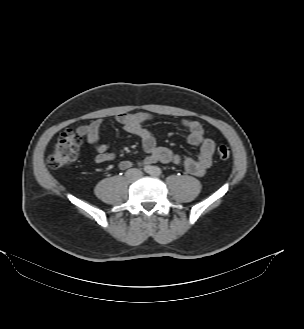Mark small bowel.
<instances>
[{"mask_svg": "<svg viewBox=\"0 0 304 329\" xmlns=\"http://www.w3.org/2000/svg\"><path fill=\"white\" fill-rule=\"evenodd\" d=\"M153 120V115L148 112L121 113L115 118V122L125 131L138 136L142 147L147 154L144 163H165L183 167L188 173L194 176H202L211 166L212 157L215 151L214 142L207 138L201 124L193 119H183L179 125L188 133V141L198 146L200 151L197 159L183 157L174 153L169 148L158 145L153 134L146 127L147 123ZM101 120H95L89 124L82 125L77 129L78 134L89 144L93 145L97 154L93 161L95 164H102L114 160L115 153L108 145L99 142ZM133 163L123 160L119 163L122 170L129 169Z\"/></svg>", "mask_w": 304, "mask_h": 329, "instance_id": "obj_1", "label": "small bowel"}]
</instances>
